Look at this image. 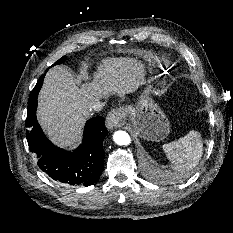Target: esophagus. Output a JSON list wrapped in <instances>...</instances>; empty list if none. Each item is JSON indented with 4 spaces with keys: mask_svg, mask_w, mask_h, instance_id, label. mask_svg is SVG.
Here are the masks:
<instances>
[{
    "mask_svg": "<svg viewBox=\"0 0 233 233\" xmlns=\"http://www.w3.org/2000/svg\"><path fill=\"white\" fill-rule=\"evenodd\" d=\"M126 122V113L123 108L113 109L106 117V127L114 129L122 127Z\"/></svg>",
    "mask_w": 233,
    "mask_h": 233,
    "instance_id": "34e87169",
    "label": "esophagus"
}]
</instances>
